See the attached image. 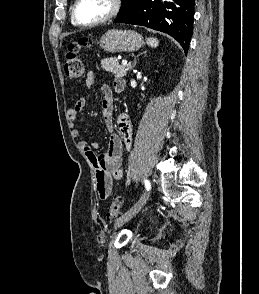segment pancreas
<instances>
[{"label": "pancreas", "instance_id": "cf45deb5", "mask_svg": "<svg viewBox=\"0 0 259 294\" xmlns=\"http://www.w3.org/2000/svg\"><path fill=\"white\" fill-rule=\"evenodd\" d=\"M101 67L115 77H124L130 70V65H120L116 57L102 59Z\"/></svg>", "mask_w": 259, "mask_h": 294}]
</instances>
